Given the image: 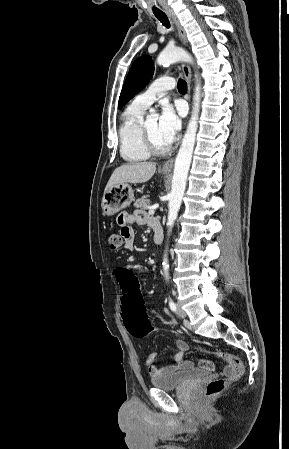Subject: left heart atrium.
<instances>
[{"label": "left heart atrium", "instance_id": "obj_1", "mask_svg": "<svg viewBox=\"0 0 289 449\" xmlns=\"http://www.w3.org/2000/svg\"><path fill=\"white\" fill-rule=\"evenodd\" d=\"M180 128L181 119L179 114L171 104L164 103L158 120V129L161 137L170 145L175 141Z\"/></svg>", "mask_w": 289, "mask_h": 449}]
</instances>
